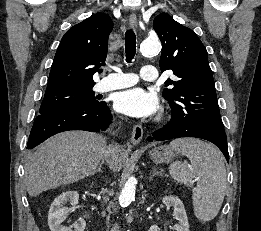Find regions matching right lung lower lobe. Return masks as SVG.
I'll list each match as a JSON object with an SVG mask.
<instances>
[{
    "mask_svg": "<svg viewBox=\"0 0 261 231\" xmlns=\"http://www.w3.org/2000/svg\"><path fill=\"white\" fill-rule=\"evenodd\" d=\"M111 123V111L105 102L97 106L73 107L36 117L28 140L32 149L50 136L67 130L97 132Z\"/></svg>",
    "mask_w": 261,
    "mask_h": 231,
    "instance_id": "98d812e1",
    "label": "right lung lower lobe"
}]
</instances>
